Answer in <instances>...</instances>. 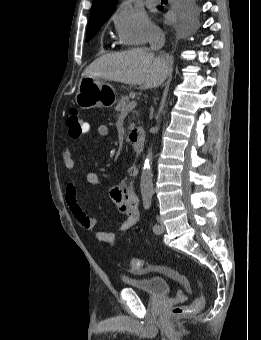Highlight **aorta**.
Instances as JSON below:
<instances>
[{
	"label": "aorta",
	"mask_w": 261,
	"mask_h": 340,
	"mask_svg": "<svg viewBox=\"0 0 261 340\" xmlns=\"http://www.w3.org/2000/svg\"><path fill=\"white\" fill-rule=\"evenodd\" d=\"M132 0H127L125 2V5H129ZM162 110V107H160L158 116H157V126L154 127V132L157 133L159 131V125L158 121L159 120V114ZM152 162H153V152L152 148L148 149L144 165L142 168V174H141V181H140V190L141 194L143 196L146 195H152L153 194V173H152Z\"/></svg>",
	"instance_id": "1"
}]
</instances>
